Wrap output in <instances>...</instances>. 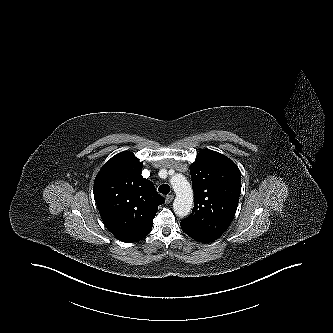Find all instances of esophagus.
Segmentation results:
<instances>
[{
  "instance_id": "esophagus-1",
  "label": "esophagus",
  "mask_w": 333,
  "mask_h": 333,
  "mask_svg": "<svg viewBox=\"0 0 333 333\" xmlns=\"http://www.w3.org/2000/svg\"><path fill=\"white\" fill-rule=\"evenodd\" d=\"M173 199H174V195L170 194V195L166 196L165 201L167 204H169L172 202Z\"/></svg>"
}]
</instances>
